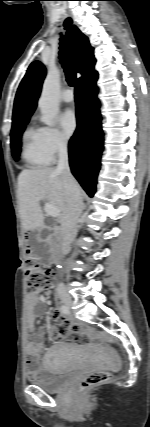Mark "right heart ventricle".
Returning a JSON list of instances; mask_svg holds the SVG:
<instances>
[{"mask_svg":"<svg viewBox=\"0 0 150 427\" xmlns=\"http://www.w3.org/2000/svg\"><path fill=\"white\" fill-rule=\"evenodd\" d=\"M21 156L28 167L39 168L49 163L41 145L40 130L27 127L21 137Z\"/></svg>","mask_w":150,"mask_h":427,"instance_id":"e07e8e85","label":"right heart ventricle"}]
</instances>
